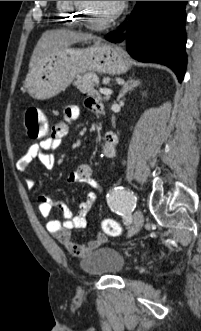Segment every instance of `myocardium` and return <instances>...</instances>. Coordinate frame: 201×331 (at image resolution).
Segmentation results:
<instances>
[{"instance_id":"1","label":"myocardium","mask_w":201,"mask_h":331,"mask_svg":"<svg viewBox=\"0 0 201 331\" xmlns=\"http://www.w3.org/2000/svg\"><path fill=\"white\" fill-rule=\"evenodd\" d=\"M73 4L79 10L78 16L81 17V19H82L81 22L85 25L97 27V28L106 27V26L110 25L122 14V12L125 8V1H119L116 10L111 15H109L107 18H105L103 21H101L99 23H92L85 17L86 2L73 1Z\"/></svg>"}]
</instances>
